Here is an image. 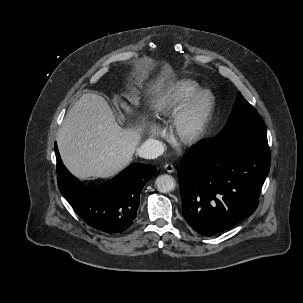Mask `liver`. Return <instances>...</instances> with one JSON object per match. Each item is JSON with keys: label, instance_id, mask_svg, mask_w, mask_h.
<instances>
[{"label": "liver", "instance_id": "liver-1", "mask_svg": "<svg viewBox=\"0 0 303 303\" xmlns=\"http://www.w3.org/2000/svg\"><path fill=\"white\" fill-rule=\"evenodd\" d=\"M167 72L172 69L168 67ZM119 103L131 112L126 102ZM141 138V127H120L105 99L86 93L68 112L57 145L64 165L74 175L110 178L130 164Z\"/></svg>", "mask_w": 303, "mask_h": 303}]
</instances>
